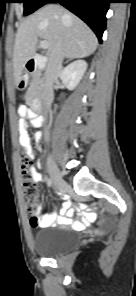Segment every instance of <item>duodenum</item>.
<instances>
[{
  "label": "duodenum",
  "instance_id": "obj_1",
  "mask_svg": "<svg viewBox=\"0 0 136 296\" xmlns=\"http://www.w3.org/2000/svg\"><path fill=\"white\" fill-rule=\"evenodd\" d=\"M46 57L43 55H35L30 58L26 63V69L28 73H33L36 70H41L45 68ZM44 124V120L40 117H37L35 120V126H42Z\"/></svg>",
  "mask_w": 136,
  "mask_h": 296
}]
</instances>
